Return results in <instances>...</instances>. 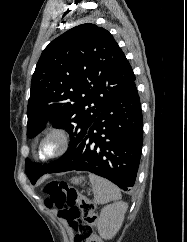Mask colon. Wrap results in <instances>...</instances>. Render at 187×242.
Here are the masks:
<instances>
[{"label":"colon","instance_id":"obj_1","mask_svg":"<svg viewBox=\"0 0 187 242\" xmlns=\"http://www.w3.org/2000/svg\"><path fill=\"white\" fill-rule=\"evenodd\" d=\"M46 205L58 209L63 218L75 231L74 242H102L94 234L98 221L93 203L75 187L65 182L51 181L44 187Z\"/></svg>","mask_w":187,"mask_h":242}]
</instances>
